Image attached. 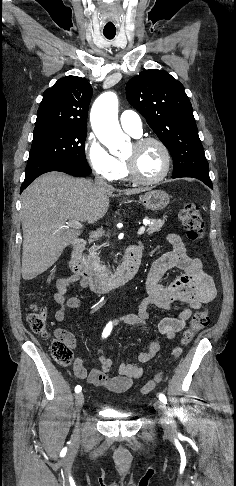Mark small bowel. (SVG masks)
I'll return each instance as SVG.
<instances>
[{
  "label": "small bowel",
  "instance_id": "c3829d8e",
  "mask_svg": "<svg viewBox=\"0 0 236 486\" xmlns=\"http://www.w3.org/2000/svg\"><path fill=\"white\" fill-rule=\"evenodd\" d=\"M167 242L172 250L157 258L146 277V296L141 300L137 313L125 314L114 318L112 326L119 324L140 325L147 331H151L152 316L150 307H156L165 311H171L174 304L184 303L187 307L179 311L175 316H164L157 323L158 332L167 339H173L182 331L192 314L204 304L211 302L216 297V287L212 277L204 271L203 264L198 258L190 257L186 253L185 245L181 237L171 233L167 236ZM176 269L180 271L170 285L163 286L160 280L163 275ZM78 283L85 288L86 283L75 274H69L59 278L56 282L54 301L59 306L55 312V320L63 322L67 316V309H75L80 306V300L76 296L66 297L71 285ZM56 336L61 337L70 346H75L76 341L72 333L64 329H58ZM160 344L152 340L148 350L137 355L136 363H123L115 376L108 374L112 362L106 356L104 347H98L96 354L100 368L92 369L89 373L82 360L77 358L74 363V374L79 379L87 381L99 388L115 393L128 390L144 372V364L151 360L159 351Z\"/></svg>",
  "mask_w": 236,
  "mask_h": 486
}]
</instances>
